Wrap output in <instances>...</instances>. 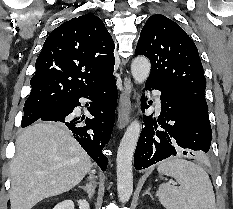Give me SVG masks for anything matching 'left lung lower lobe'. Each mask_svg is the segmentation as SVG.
<instances>
[{"label":"left lung lower lobe","mask_w":233,"mask_h":209,"mask_svg":"<svg viewBox=\"0 0 233 209\" xmlns=\"http://www.w3.org/2000/svg\"><path fill=\"white\" fill-rule=\"evenodd\" d=\"M145 86L161 91L160 127L152 116H145L134 155L135 169H145L178 154L193 155L189 150L207 153L212 137L208 108L155 79L148 78ZM143 107H147L145 103Z\"/></svg>","instance_id":"left-lung-lower-lobe-1"}]
</instances>
